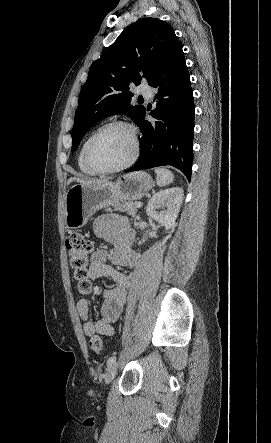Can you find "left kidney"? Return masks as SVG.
<instances>
[{
	"mask_svg": "<svg viewBox=\"0 0 271 443\" xmlns=\"http://www.w3.org/2000/svg\"><path fill=\"white\" fill-rule=\"evenodd\" d=\"M183 196L182 188H169V190L158 192L151 198L147 206V216L165 225V229H170L179 214ZM157 210H161V212H157Z\"/></svg>",
	"mask_w": 271,
	"mask_h": 443,
	"instance_id": "5707ae66",
	"label": "left kidney"
}]
</instances>
